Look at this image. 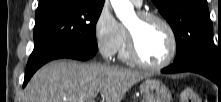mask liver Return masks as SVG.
<instances>
[{"instance_id":"obj_1","label":"liver","mask_w":221,"mask_h":102,"mask_svg":"<svg viewBox=\"0 0 221 102\" xmlns=\"http://www.w3.org/2000/svg\"><path fill=\"white\" fill-rule=\"evenodd\" d=\"M149 75L103 64L52 61L40 68L24 90V102H120L127 91ZM106 100V101H104Z\"/></svg>"}]
</instances>
